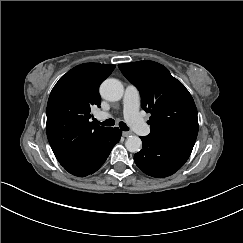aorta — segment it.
<instances>
[{
	"label": "aorta",
	"mask_w": 243,
	"mask_h": 243,
	"mask_svg": "<svg viewBox=\"0 0 243 243\" xmlns=\"http://www.w3.org/2000/svg\"><path fill=\"white\" fill-rule=\"evenodd\" d=\"M100 94L105 100L112 102L119 101L123 97L124 87L117 79H107L100 87ZM125 147L129 152H138L142 147V141L136 135L129 136L125 141Z\"/></svg>",
	"instance_id": "obj_1"
}]
</instances>
